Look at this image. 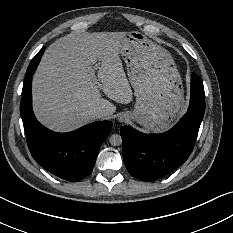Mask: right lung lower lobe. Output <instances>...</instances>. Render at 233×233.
<instances>
[{
    "label": "right lung lower lobe",
    "instance_id": "right-lung-lower-lobe-1",
    "mask_svg": "<svg viewBox=\"0 0 233 233\" xmlns=\"http://www.w3.org/2000/svg\"><path fill=\"white\" fill-rule=\"evenodd\" d=\"M44 49L45 47L30 62L22 89L20 113L26 140L32 157L43 168L61 179L77 182L91 173L112 122H93L73 132L56 133L36 120L32 110V75Z\"/></svg>",
    "mask_w": 233,
    "mask_h": 233
}]
</instances>
